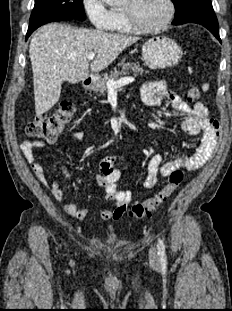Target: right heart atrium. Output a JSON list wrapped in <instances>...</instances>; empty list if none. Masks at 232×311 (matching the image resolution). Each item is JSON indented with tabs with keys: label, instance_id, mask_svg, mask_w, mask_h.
I'll return each instance as SVG.
<instances>
[{
	"label": "right heart atrium",
	"instance_id": "obj_1",
	"mask_svg": "<svg viewBox=\"0 0 232 311\" xmlns=\"http://www.w3.org/2000/svg\"><path fill=\"white\" fill-rule=\"evenodd\" d=\"M82 5L95 30L107 31L112 28L115 15L105 0H82Z\"/></svg>",
	"mask_w": 232,
	"mask_h": 311
}]
</instances>
